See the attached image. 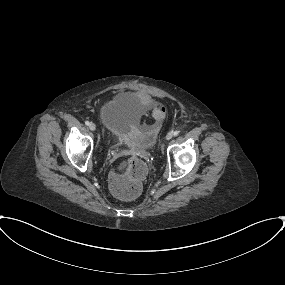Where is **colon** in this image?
I'll use <instances>...</instances> for the list:
<instances>
[{
  "label": "colon",
  "instance_id": "1",
  "mask_svg": "<svg viewBox=\"0 0 285 285\" xmlns=\"http://www.w3.org/2000/svg\"><path fill=\"white\" fill-rule=\"evenodd\" d=\"M146 165L139 160L130 161L122 172L112 174L110 188L113 195L129 201L137 198L143 189Z\"/></svg>",
  "mask_w": 285,
  "mask_h": 285
}]
</instances>
